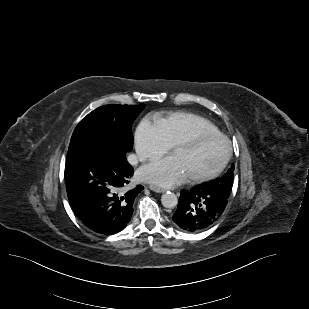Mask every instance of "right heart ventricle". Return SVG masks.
<instances>
[{
    "mask_svg": "<svg viewBox=\"0 0 309 309\" xmlns=\"http://www.w3.org/2000/svg\"><path fill=\"white\" fill-rule=\"evenodd\" d=\"M156 123L170 145L195 131L220 132L218 127L207 118L185 111L159 116L156 118Z\"/></svg>",
    "mask_w": 309,
    "mask_h": 309,
    "instance_id": "right-heart-ventricle-1",
    "label": "right heart ventricle"
}]
</instances>
